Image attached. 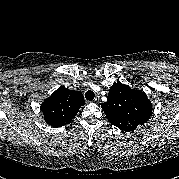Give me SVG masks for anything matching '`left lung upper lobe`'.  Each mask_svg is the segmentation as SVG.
<instances>
[{
	"instance_id": "left-lung-upper-lobe-1",
	"label": "left lung upper lobe",
	"mask_w": 179,
	"mask_h": 179,
	"mask_svg": "<svg viewBox=\"0 0 179 179\" xmlns=\"http://www.w3.org/2000/svg\"><path fill=\"white\" fill-rule=\"evenodd\" d=\"M107 98L101 107L109 122L124 132L134 131L152 114V103L147 95L120 82L111 86Z\"/></svg>"
}]
</instances>
